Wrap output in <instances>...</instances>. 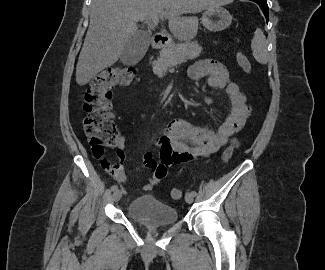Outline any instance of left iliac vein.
<instances>
[{
	"label": "left iliac vein",
	"instance_id": "obj_1",
	"mask_svg": "<svg viewBox=\"0 0 325 270\" xmlns=\"http://www.w3.org/2000/svg\"><path fill=\"white\" fill-rule=\"evenodd\" d=\"M185 200H186L187 203L191 204L193 202V200H194V196L191 193H187L185 195Z\"/></svg>",
	"mask_w": 325,
	"mask_h": 270
}]
</instances>
